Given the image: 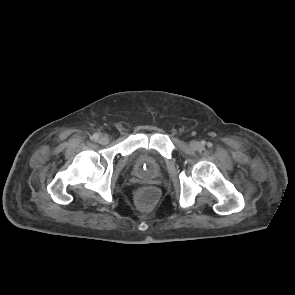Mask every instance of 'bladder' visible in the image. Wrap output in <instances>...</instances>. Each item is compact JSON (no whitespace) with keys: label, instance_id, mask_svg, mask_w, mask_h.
Wrapping results in <instances>:
<instances>
[{"label":"bladder","instance_id":"1","mask_svg":"<svg viewBox=\"0 0 295 295\" xmlns=\"http://www.w3.org/2000/svg\"><path fill=\"white\" fill-rule=\"evenodd\" d=\"M162 167V161L147 152L140 151L133 157V172L144 181H151L158 177Z\"/></svg>","mask_w":295,"mask_h":295}]
</instances>
